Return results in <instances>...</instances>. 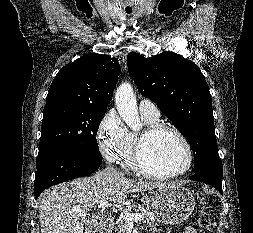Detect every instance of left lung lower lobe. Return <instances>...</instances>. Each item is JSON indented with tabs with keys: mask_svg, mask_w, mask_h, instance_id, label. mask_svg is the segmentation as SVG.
<instances>
[{
	"mask_svg": "<svg viewBox=\"0 0 253 233\" xmlns=\"http://www.w3.org/2000/svg\"><path fill=\"white\" fill-rule=\"evenodd\" d=\"M222 177H223V173H217L212 170H203V171L194 173L190 179L208 183L214 186L222 194Z\"/></svg>",
	"mask_w": 253,
	"mask_h": 233,
	"instance_id": "0a47b994",
	"label": "left lung lower lobe"
}]
</instances>
